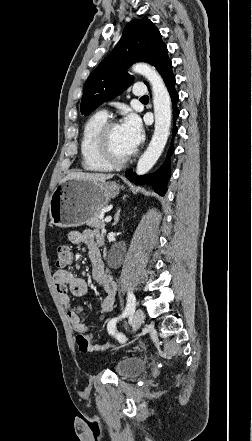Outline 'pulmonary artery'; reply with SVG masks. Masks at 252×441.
<instances>
[{
	"instance_id": "obj_1",
	"label": "pulmonary artery",
	"mask_w": 252,
	"mask_h": 441,
	"mask_svg": "<svg viewBox=\"0 0 252 441\" xmlns=\"http://www.w3.org/2000/svg\"><path fill=\"white\" fill-rule=\"evenodd\" d=\"M133 94L137 97H143L147 94V88L144 86V84L138 83L134 86ZM102 113L108 115L106 110H103Z\"/></svg>"
}]
</instances>
